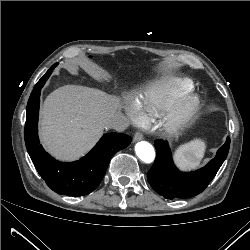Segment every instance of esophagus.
Instances as JSON below:
<instances>
[{
    "label": "esophagus",
    "instance_id": "esophagus-1",
    "mask_svg": "<svg viewBox=\"0 0 250 250\" xmlns=\"http://www.w3.org/2000/svg\"><path fill=\"white\" fill-rule=\"evenodd\" d=\"M143 139V134L141 132H136L133 136V141L137 142Z\"/></svg>",
    "mask_w": 250,
    "mask_h": 250
}]
</instances>
